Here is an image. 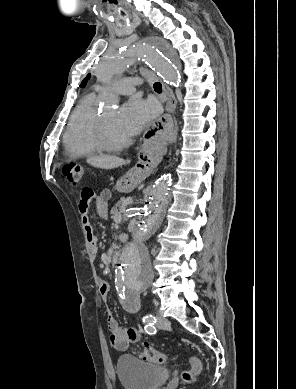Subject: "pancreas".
Segmentation results:
<instances>
[{"label":"pancreas","mask_w":296,"mask_h":389,"mask_svg":"<svg viewBox=\"0 0 296 389\" xmlns=\"http://www.w3.org/2000/svg\"><path fill=\"white\" fill-rule=\"evenodd\" d=\"M124 203H125V198H121L115 206L111 209V214L113 216H116L117 214H121L124 210Z\"/></svg>","instance_id":"obj_1"}]
</instances>
